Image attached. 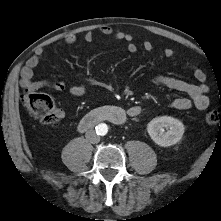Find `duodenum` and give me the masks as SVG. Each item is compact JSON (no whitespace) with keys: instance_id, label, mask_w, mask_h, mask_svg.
Returning <instances> with one entry per match:
<instances>
[{"instance_id":"duodenum-1","label":"duodenum","mask_w":221,"mask_h":221,"mask_svg":"<svg viewBox=\"0 0 221 221\" xmlns=\"http://www.w3.org/2000/svg\"><path fill=\"white\" fill-rule=\"evenodd\" d=\"M127 113L117 106H104L87 113L79 122L78 129L86 131L101 122L123 125L127 121Z\"/></svg>"}]
</instances>
